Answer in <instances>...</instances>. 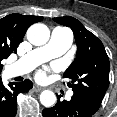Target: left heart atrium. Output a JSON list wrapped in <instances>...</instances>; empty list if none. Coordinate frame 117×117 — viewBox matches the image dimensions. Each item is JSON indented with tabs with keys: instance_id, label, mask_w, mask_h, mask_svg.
<instances>
[{
	"instance_id": "1",
	"label": "left heart atrium",
	"mask_w": 117,
	"mask_h": 117,
	"mask_svg": "<svg viewBox=\"0 0 117 117\" xmlns=\"http://www.w3.org/2000/svg\"><path fill=\"white\" fill-rule=\"evenodd\" d=\"M37 77L38 79L43 80L46 77V71L45 70L39 71Z\"/></svg>"
}]
</instances>
